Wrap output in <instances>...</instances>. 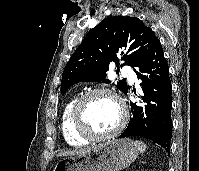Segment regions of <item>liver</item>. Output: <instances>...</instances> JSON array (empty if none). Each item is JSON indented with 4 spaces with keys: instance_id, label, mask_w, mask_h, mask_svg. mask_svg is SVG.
I'll use <instances>...</instances> for the list:
<instances>
[{
    "instance_id": "1",
    "label": "liver",
    "mask_w": 199,
    "mask_h": 171,
    "mask_svg": "<svg viewBox=\"0 0 199 171\" xmlns=\"http://www.w3.org/2000/svg\"><path fill=\"white\" fill-rule=\"evenodd\" d=\"M92 148H86V149H79V150H69V151H65V152H61L58 154V156H74V155H80V154H84L87 151L91 150Z\"/></svg>"
}]
</instances>
